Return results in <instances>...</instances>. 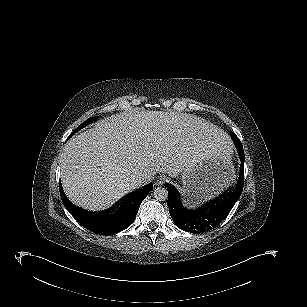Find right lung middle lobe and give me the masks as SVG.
Here are the masks:
<instances>
[{"instance_id":"dd1d6c3e","label":"right lung middle lobe","mask_w":307,"mask_h":307,"mask_svg":"<svg viewBox=\"0 0 307 307\" xmlns=\"http://www.w3.org/2000/svg\"><path fill=\"white\" fill-rule=\"evenodd\" d=\"M97 118L96 117H93V118H89L88 120H86L85 122H83L78 128H76L72 134L68 137V139L74 135L78 130L82 129L83 127H85L86 125H88L89 123L93 122L94 120H96Z\"/></svg>"}]
</instances>
